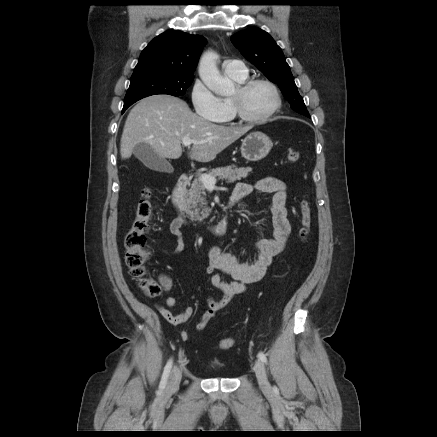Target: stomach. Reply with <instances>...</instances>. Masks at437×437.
I'll return each instance as SVG.
<instances>
[{"instance_id":"obj_1","label":"stomach","mask_w":437,"mask_h":437,"mask_svg":"<svg viewBox=\"0 0 437 437\" xmlns=\"http://www.w3.org/2000/svg\"><path fill=\"white\" fill-rule=\"evenodd\" d=\"M273 146L270 138L262 132L248 134L241 144V154L248 161H259L265 158Z\"/></svg>"}]
</instances>
